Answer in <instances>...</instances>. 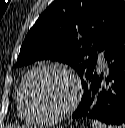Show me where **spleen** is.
<instances>
[{
	"label": "spleen",
	"instance_id": "1",
	"mask_svg": "<svg viewBox=\"0 0 125 128\" xmlns=\"http://www.w3.org/2000/svg\"><path fill=\"white\" fill-rule=\"evenodd\" d=\"M92 128H111V127H109V126H107V125H105V124H103L97 120H93L92 121Z\"/></svg>",
	"mask_w": 125,
	"mask_h": 128
}]
</instances>
